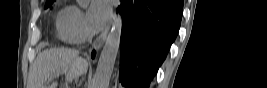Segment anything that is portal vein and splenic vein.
I'll use <instances>...</instances> for the list:
<instances>
[{
	"label": "portal vein and splenic vein",
	"instance_id": "18ae733b",
	"mask_svg": "<svg viewBox=\"0 0 267 88\" xmlns=\"http://www.w3.org/2000/svg\"><path fill=\"white\" fill-rule=\"evenodd\" d=\"M60 74H61V72H60V71H58L57 73H55V75H54V76L56 77V76H59Z\"/></svg>",
	"mask_w": 267,
	"mask_h": 88
}]
</instances>
